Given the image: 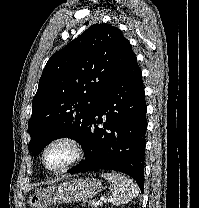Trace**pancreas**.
Instances as JSON below:
<instances>
[{
    "label": "pancreas",
    "mask_w": 199,
    "mask_h": 208,
    "mask_svg": "<svg viewBox=\"0 0 199 208\" xmlns=\"http://www.w3.org/2000/svg\"><path fill=\"white\" fill-rule=\"evenodd\" d=\"M88 206L92 207V208H97V203L95 200H89L88 201Z\"/></svg>",
    "instance_id": "obj_1"
}]
</instances>
